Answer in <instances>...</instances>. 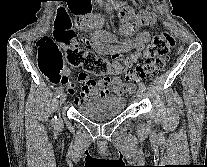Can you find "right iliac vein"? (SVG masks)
Masks as SVG:
<instances>
[{
  "label": "right iliac vein",
  "mask_w": 207,
  "mask_h": 167,
  "mask_svg": "<svg viewBox=\"0 0 207 167\" xmlns=\"http://www.w3.org/2000/svg\"><path fill=\"white\" fill-rule=\"evenodd\" d=\"M65 101H66V94L65 93H62L60 95V98H59V105H60V107L63 106V104L65 103Z\"/></svg>",
  "instance_id": "obj_1"
}]
</instances>
